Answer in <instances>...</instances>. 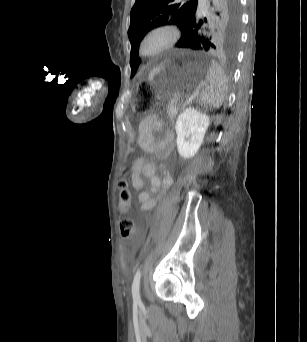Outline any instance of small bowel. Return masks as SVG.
Returning a JSON list of instances; mask_svg holds the SVG:
<instances>
[{
	"label": "small bowel",
	"instance_id": "small-bowel-1",
	"mask_svg": "<svg viewBox=\"0 0 307 342\" xmlns=\"http://www.w3.org/2000/svg\"><path fill=\"white\" fill-rule=\"evenodd\" d=\"M155 133H163V137L156 140ZM138 144L140 148L147 154L157 159H165L170 154L174 145V134L170 130L165 129L164 122L154 115H146L140 122L138 127ZM163 180L156 175V166L153 162L148 161L145 157H139L131 168V184L140 190L138 201L142 211L153 209L157 203V195L161 189L167 188L172 177L169 172L163 168ZM143 177L150 180V189L142 190L144 181Z\"/></svg>",
	"mask_w": 307,
	"mask_h": 342
}]
</instances>
